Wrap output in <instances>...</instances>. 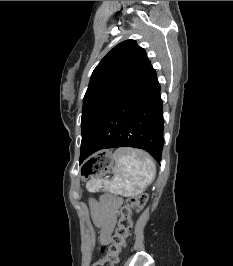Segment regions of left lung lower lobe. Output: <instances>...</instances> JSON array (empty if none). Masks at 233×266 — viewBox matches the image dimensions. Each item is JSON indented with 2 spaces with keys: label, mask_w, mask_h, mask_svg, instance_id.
I'll return each instance as SVG.
<instances>
[{
  "label": "left lung lower lobe",
  "mask_w": 233,
  "mask_h": 266,
  "mask_svg": "<svg viewBox=\"0 0 233 266\" xmlns=\"http://www.w3.org/2000/svg\"><path fill=\"white\" fill-rule=\"evenodd\" d=\"M163 121L160 84L148 61L83 146L80 163L98 150L123 146L144 149L159 163L163 150Z\"/></svg>",
  "instance_id": "0a47b994"
}]
</instances>
